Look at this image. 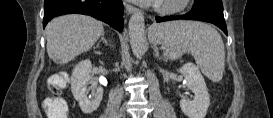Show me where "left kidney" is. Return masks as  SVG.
Returning <instances> with one entry per match:
<instances>
[{
  "label": "left kidney",
  "mask_w": 273,
  "mask_h": 118,
  "mask_svg": "<svg viewBox=\"0 0 273 118\" xmlns=\"http://www.w3.org/2000/svg\"><path fill=\"white\" fill-rule=\"evenodd\" d=\"M178 72L185 78L187 87L195 94L193 101L185 99L180 101L182 112L188 118H205L210 98L201 72L193 63L184 64Z\"/></svg>",
  "instance_id": "1"
}]
</instances>
